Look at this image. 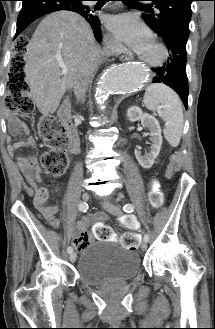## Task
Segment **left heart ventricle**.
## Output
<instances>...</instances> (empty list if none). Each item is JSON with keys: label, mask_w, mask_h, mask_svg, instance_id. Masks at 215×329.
Here are the masks:
<instances>
[{"label": "left heart ventricle", "mask_w": 215, "mask_h": 329, "mask_svg": "<svg viewBox=\"0 0 215 329\" xmlns=\"http://www.w3.org/2000/svg\"><path fill=\"white\" fill-rule=\"evenodd\" d=\"M157 50L154 48L153 45H151L149 48H147L145 51L141 53L146 58H154L157 56Z\"/></svg>", "instance_id": "b2bd125f"}]
</instances>
